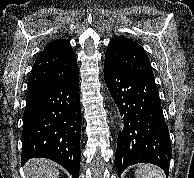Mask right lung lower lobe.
<instances>
[{"mask_svg": "<svg viewBox=\"0 0 194 178\" xmlns=\"http://www.w3.org/2000/svg\"><path fill=\"white\" fill-rule=\"evenodd\" d=\"M79 73L59 83L28 90L23 114L22 164L48 158L77 178L80 166Z\"/></svg>", "mask_w": 194, "mask_h": 178, "instance_id": "obj_1", "label": "right lung lower lobe"}]
</instances>
